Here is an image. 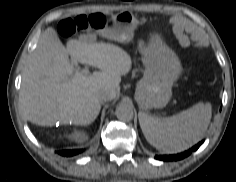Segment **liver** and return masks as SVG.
<instances>
[{"mask_svg": "<svg viewBox=\"0 0 236 182\" xmlns=\"http://www.w3.org/2000/svg\"><path fill=\"white\" fill-rule=\"evenodd\" d=\"M71 56V59L69 58ZM73 62L94 66L93 74L75 72ZM132 67L130 55L119 46L96 42L85 35L65 47L53 28L46 29L27 60L20 90L23 114L40 126L57 121L89 125L97 118L98 93L108 90L114 99L120 92L121 76Z\"/></svg>", "mask_w": 236, "mask_h": 182, "instance_id": "1", "label": "liver"}]
</instances>
